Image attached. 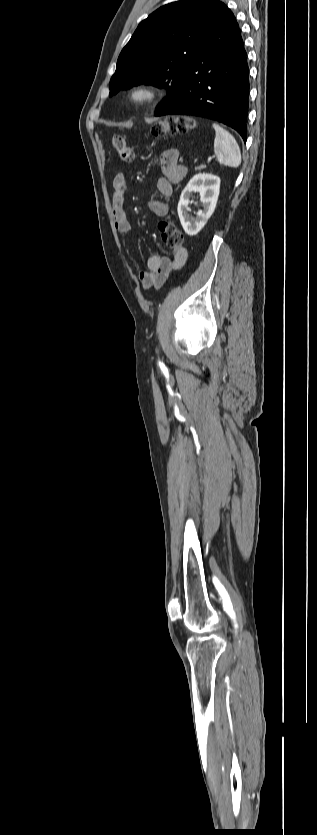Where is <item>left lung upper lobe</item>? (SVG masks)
I'll return each instance as SVG.
<instances>
[{"instance_id":"1","label":"left lung upper lobe","mask_w":317,"mask_h":835,"mask_svg":"<svg viewBox=\"0 0 317 835\" xmlns=\"http://www.w3.org/2000/svg\"><path fill=\"white\" fill-rule=\"evenodd\" d=\"M227 10L218 0H181L157 9L121 51L109 96L150 83L168 91L158 109L176 101L188 67Z\"/></svg>"}]
</instances>
